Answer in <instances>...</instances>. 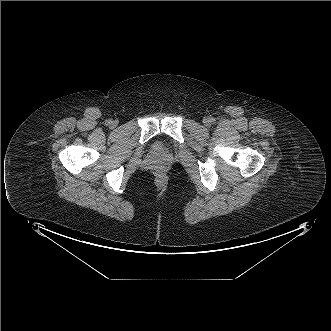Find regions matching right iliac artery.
<instances>
[{"instance_id": "82829eb1", "label": "right iliac artery", "mask_w": 331, "mask_h": 331, "mask_svg": "<svg viewBox=\"0 0 331 331\" xmlns=\"http://www.w3.org/2000/svg\"><path fill=\"white\" fill-rule=\"evenodd\" d=\"M112 121L111 120H108V123L110 124Z\"/></svg>"}]
</instances>
